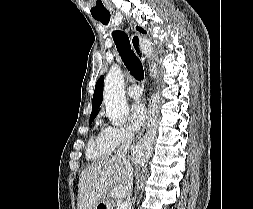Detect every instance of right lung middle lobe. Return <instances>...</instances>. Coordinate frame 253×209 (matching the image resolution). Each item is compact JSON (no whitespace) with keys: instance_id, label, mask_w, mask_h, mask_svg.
<instances>
[{"instance_id":"right-lung-middle-lobe-1","label":"right lung middle lobe","mask_w":253,"mask_h":209,"mask_svg":"<svg viewBox=\"0 0 253 209\" xmlns=\"http://www.w3.org/2000/svg\"><path fill=\"white\" fill-rule=\"evenodd\" d=\"M93 120H94V118L90 119L89 124H91Z\"/></svg>"}]
</instances>
